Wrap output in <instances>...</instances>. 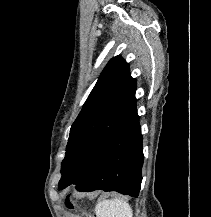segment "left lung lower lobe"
Segmentation results:
<instances>
[{
    "label": "left lung lower lobe",
    "instance_id": "left-lung-lower-lobe-1",
    "mask_svg": "<svg viewBox=\"0 0 211 217\" xmlns=\"http://www.w3.org/2000/svg\"><path fill=\"white\" fill-rule=\"evenodd\" d=\"M144 155L139 116L118 129L79 175L59 189L75 184L79 191H117L138 197Z\"/></svg>",
    "mask_w": 211,
    "mask_h": 217
}]
</instances>
